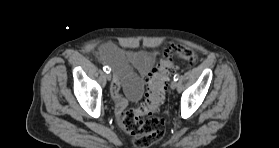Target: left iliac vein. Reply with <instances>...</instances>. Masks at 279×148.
Wrapping results in <instances>:
<instances>
[{"label": "left iliac vein", "instance_id": "4c4485c4", "mask_svg": "<svg viewBox=\"0 0 279 148\" xmlns=\"http://www.w3.org/2000/svg\"><path fill=\"white\" fill-rule=\"evenodd\" d=\"M177 87V82L175 80H172L170 83V88L175 89Z\"/></svg>", "mask_w": 279, "mask_h": 148}]
</instances>
